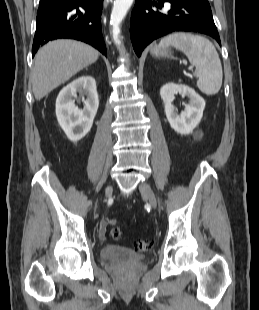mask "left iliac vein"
Listing matches in <instances>:
<instances>
[{"instance_id":"1","label":"left iliac vein","mask_w":259,"mask_h":310,"mask_svg":"<svg viewBox=\"0 0 259 310\" xmlns=\"http://www.w3.org/2000/svg\"><path fill=\"white\" fill-rule=\"evenodd\" d=\"M139 190H140V193L142 194V196H144L149 201L152 208L156 209L157 208V200H156V196H155L152 188L150 187V185L146 182H143L139 185Z\"/></svg>"}]
</instances>
